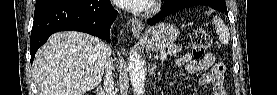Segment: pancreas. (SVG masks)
I'll return each instance as SVG.
<instances>
[{
  "label": "pancreas",
  "mask_w": 277,
  "mask_h": 95,
  "mask_svg": "<svg viewBox=\"0 0 277 95\" xmlns=\"http://www.w3.org/2000/svg\"><path fill=\"white\" fill-rule=\"evenodd\" d=\"M181 49H182L181 47H179V46H177L175 44H172L164 52L168 56H175L177 53H179L181 51Z\"/></svg>",
  "instance_id": "pancreas-1"
}]
</instances>
